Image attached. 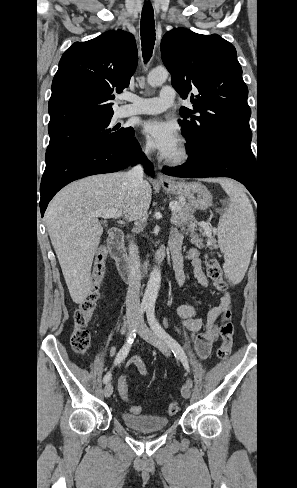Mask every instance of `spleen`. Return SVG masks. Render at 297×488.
Returning <instances> with one entry per match:
<instances>
[{"label": "spleen", "instance_id": "3e777b00", "mask_svg": "<svg viewBox=\"0 0 297 488\" xmlns=\"http://www.w3.org/2000/svg\"><path fill=\"white\" fill-rule=\"evenodd\" d=\"M221 186L230 197V204L220 217L218 243L225 256L223 265L228 279L242 281L254 247L255 217L252 205L243 189L231 180H221Z\"/></svg>", "mask_w": 297, "mask_h": 488}]
</instances>
